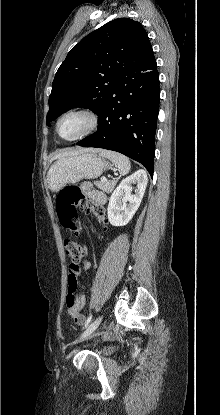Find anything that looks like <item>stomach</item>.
Masks as SVG:
<instances>
[{
  "instance_id": "1",
  "label": "stomach",
  "mask_w": 220,
  "mask_h": 415,
  "mask_svg": "<svg viewBox=\"0 0 220 415\" xmlns=\"http://www.w3.org/2000/svg\"><path fill=\"white\" fill-rule=\"evenodd\" d=\"M112 166L105 159L92 152L66 156L56 161L47 174L49 187L58 191L67 183L82 179H94Z\"/></svg>"
}]
</instances>
